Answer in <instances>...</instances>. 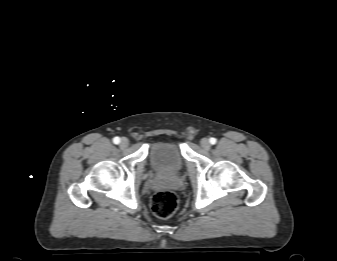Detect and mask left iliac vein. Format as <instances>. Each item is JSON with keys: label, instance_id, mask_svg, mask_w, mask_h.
<instances>
[{"label": "left iliac vein", "instance_id": "1", "mask_svg": "<svg viewBox=\"0 0 337 261\" xmlns=\"http://www.w3.org/2000/svg\"><path fill=\"white\" fill-rule=\"evenodd\" d=\"M201 146H202V148L205 149V150H209L210 147H211L210 142H209V140H208L207 138H203V139L201 140Z\"/></svg>", "mask_w": 337, "mask_h": 261}]
</instances>
